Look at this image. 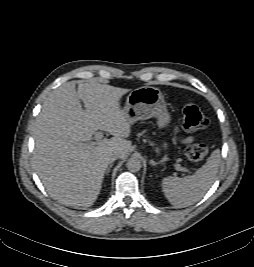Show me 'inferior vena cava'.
<instances>
[{
    "label": "inferior vena cava",
    "mask_w": 254,
    "mask_h": 267,
    "mask_svg": "<svg viewBox=\"0 0 254 267\" xmlns=\"http://www.w3.org/2000/svg\"><path fill=\"white\" fill-rule=\"evenodd\" d=\"M119 158V154L118 153H113L111 154L109 161L110 162H114L115 160H117Z\"/></svg>",
    "instance_id": "602c4592"
}]
</instances>
